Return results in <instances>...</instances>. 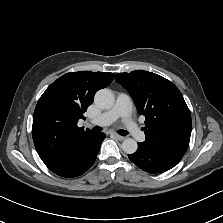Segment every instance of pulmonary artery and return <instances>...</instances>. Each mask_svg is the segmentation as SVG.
I'll list each match as a JSON object with an SVG mask.
<instances>
[{
    "mask_svg": "<svg viewBox=\"0 0 223 223\" xmlns=\"http://www.w3.org/2000/svg\"><path fill=\"white\" fill-rule=\"evenodd\" d=\"M131 110V98L125 93H118L113 107L99 116L91 119L90 124L104 127L111 125L117 119L122 118L126 123L127 130L133 134V137L142 141L145 138V133L138 131L136 123L131 121Z\"/></svg>",
    "mask_w": 223,
    "mask_h": 223,
    "instance_id": "obj_1",
    "label": "pulmonary artery"
}]
</instances>
